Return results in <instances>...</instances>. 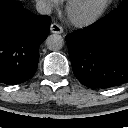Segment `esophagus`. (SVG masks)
<instances>
[{"mask_svg": "<svg viewBox=\"0 0 128 128\" xmlns=\"http://www.w3.org/2000/svg\"><path fill=\"white\" fill-rule=\"evenodd\" d=\"M50 31L51 33H54V34H62L63 28L57 23H52L50 26Z\"/></svg>", "mask_w": 128, "mask_h": 128, "instance_id": "34e87169", "label": "esophagus"}]
</instances>
